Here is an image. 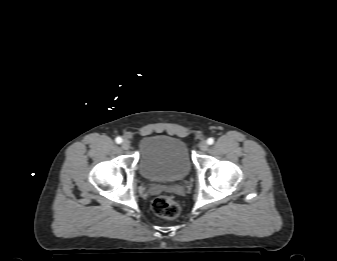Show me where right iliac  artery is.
<instances>
[{"instance_id":"82829eb1","label":"right iliac artery","mask_w":337,"mask_h":261,"mask_svg":"<svg viewBox=\"0 0 337 261\" xmlns=\"http://www.w3.org/2000/svg\"><path fill=\"white\" fill-rule=\"evenodd\" d=\"M115 141H116V143L120 144V143L122 142V138H121V137H117V138L115 139Z\"/></svg>"}]
</instances>
